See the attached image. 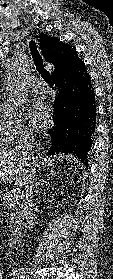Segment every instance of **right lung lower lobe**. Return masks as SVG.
Returning a JSON list of instances; mask_svg holds the SVG:
<instances>
[{
	"label": "right lung lower lobe",
	"mask_w": 113,
	"mask_h": 279,
	"mask_svg": "<svg viewBox=\"0 0 113 279\" xmlns=\"http://www.w3.org/2000/svg\"><path fill=\"white\" fill-rule=\"evenodd\" d=\"M57 89L54 101V126L48 131L49 154L63 152L76 155L88 165L87 152L96 125L95 92L91 77L81 64L74 72L53 80Z\"/></svg>",
	"instance_id": "right-lung-lower-lobe-1"
}]
</instances>
